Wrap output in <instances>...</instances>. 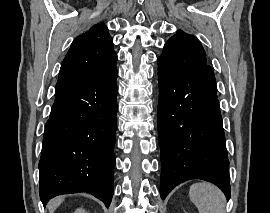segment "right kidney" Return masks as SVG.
I'll list each match as a JSON object with an SVG mask.
<instances>
[{
  "instance_id": "1",
  "label": "right kidney",
  "mask_w": 270,
  "mask_h": 213,
  "mask_svg": "<svg viewBox=\"0 0 270 213\" xmlns=\"http://www.w3.org/2000/svg\"><path fill=\"white\" fill-rule=\"evenodd\" d=\"M74 213H87L82 208H78Z\"/></svg>"
}]
</instances>
